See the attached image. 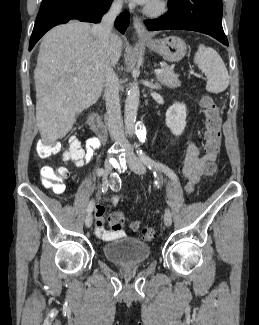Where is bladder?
I'll return each instance as SVG.
<instances>
[{"label": "bladder", "instance_id": "1", "mask_svg": "<svg viewBox=\"0 0 259 325\" xmlns=\"http://www.w3.org/2000/svg\"><path fill=\"white\" fill-rule=\"evenodd\" d=\"M103 254L107 260L117 264H138L149 258L151 248L137 238L123 237L106 243Z\"/></svg>", "mask_w": 259, "mask_h": 325}]
</instances>
